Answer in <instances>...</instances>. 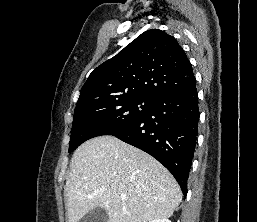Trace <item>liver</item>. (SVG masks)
Wrapping results in <instances>:
<instances>
[{"mask_svg":"<svg viewBox=\"0 0 257 222\" xmlns=\"http://www.w3.org/2000/svg\"><path fill=\"white\" fill-rule=\"evenodd\" d=\"M66 180L68 222L101 207L108 222L167 219L182 200L171 173L146 152L113 136L86 141L74 152ZM127 198L121 200L120 195Z\"/></svg>","mask_w":257,"mask_h":222,"instance_id":"obj_1","label":"liver"}]
</instances>
